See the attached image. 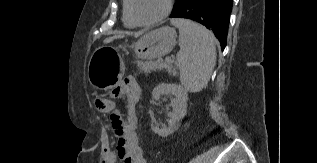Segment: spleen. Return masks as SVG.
Returning <instances> with one entry per match:
<instances>
[{"label": "spleen", "instance_id": "obj_1", "mask_svg": "<svg viewBox=\"0 0 317 163\" xmlns=\"http://www.w3.org/2000/svg\"><path fill=\"white\" fill-rule=\"evenodd\" d=\"M171 24L179 29L180 81L187 91L199 92L207 86L216 64L214 36L191 20L172 19Z\"/></svg>", "mask_w": 317, "mask_h": 163}]
</instances>
